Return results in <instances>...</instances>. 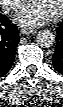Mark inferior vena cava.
<instances>
[{
  "mask_svg": "<svg viewBox=\"0 0 63 107\" xmlns=\"http://www.w3.org/2000/svg\"><path fill=\"white\" fill-rule=\"evenodd\" d=\"M12 8H13V6H5V7H4V9H5L6 11L11 10Z\"/></svg>",
  "mask_w": 63,
  "mask_h": 107,
  "instance_id": "1",
  "label": "inferior vena cava"
}]
</instances>
